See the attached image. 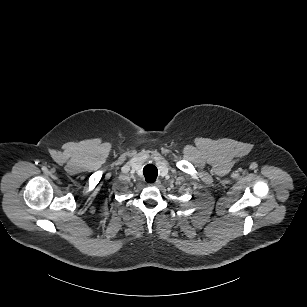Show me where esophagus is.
Segmentation results:
<instances>
[{
    "mask_svg": "<svg viewBox=\"0 0 307 307\" xmlns=\"http://www.w3.org/2000/svg\"><path fill=\"white\" fill-rule=\"evenodd\" d=\"M150 185L155 186V187H159L161 185V181L160 180H156L154 183H152Z\"/></svg>",
    "mask_w": 307,
    "mask_h": 307,
    "instance_id": "obj_1",
    "label": "esophagus"
}]
</instances>
